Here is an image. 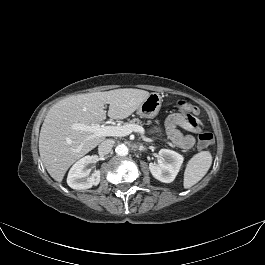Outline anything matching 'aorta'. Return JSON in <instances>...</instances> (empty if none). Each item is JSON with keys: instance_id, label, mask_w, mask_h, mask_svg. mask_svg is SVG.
<instances>
[{"instance_id": "aorta-1", "label": "aorta", "mask_w": 265, "mask_h": 265, "mask_svg": "<svg viewBox=\"0 0 265 265\" xmlns=\"http://www.w3.org/2000/svg\"><path fill=\"white\" fill-rule=\"evenodd\" d=\"M116 153L120 156H126L128 155L129 149L126 145L124 144H119L116 149H115Z\"/></svg>"}]
</instances>
